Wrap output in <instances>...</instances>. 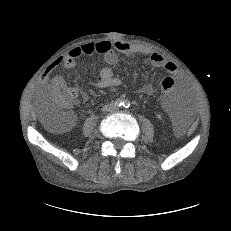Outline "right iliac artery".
<instances>
[{
  "label": "right iliac artery",
  "instance_id": "1",
  "mask_svg": "<svg viewBox=\"0 0 231 231\" xmlns=\"http://www.w3.org/2000/svg\"><path fill=\"white\" fill-rule=\"evenodd\" d=\"M122 104H123V102H122L121 99H117V100L115 101V105H116V106H121Z\"/></svg>",
  "mask_w": 231,
  "mask_h": 231
}]
</instances>
